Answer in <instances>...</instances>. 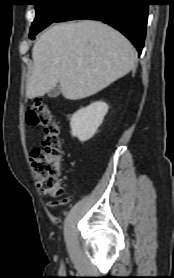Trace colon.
<instances>
[{"label": "colon", "instance_id": "5ec220e1", "mask_svg": "<svg viewBox=\"0 0 174 278\" xmlns=\"http://www.w3.org/2000/svg\"><path fill=\"white\" fill-rule=\"evenodd\" d=\"M26 121L33 126L44 128L45 136L40 148L34 149L30 165L36 176L39 192L51 198L64 193L61 183L62 141L60 128L54 121L48 105L35 100L26 110Z\"/></svg>", "mask_w": 174, "mask_h": 278}]
</instances>
